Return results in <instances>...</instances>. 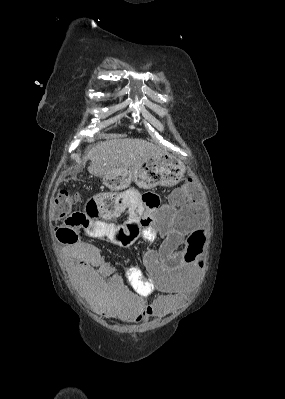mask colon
Listing matches in <instances>:
<instances>
[{"instance_id":"colon-1","label":"colon","mask_w":285,"mask_h":399,"mask_svg":"<svg viewBox=\"0 0 285 399\" xmlns=\"http://www.w3.org/2000/svg\"><path fill=\"white\" fill-rule=\"evenodd\" d=\"M197 184L194 180L185 182L181 189L186 193L195 191ZM101 202L104 205H111L113 203L123 204L124 195L123 193H111L102 196ZM134 209L132 215L127 216L123 224H119L106 233V237L113 242L121 243L125 246L132 245L139 237L142 236L144 229L148 225V220L144 207H155L159 205V199L156 195L150 194L139 201H133ZM75 205V198L72 193L62 188L55 195L52 202V215L56 220H64L67 226L66 232L67 237L62 236V229H60V239L65 243H77L79 236L76 228L80 225L88 226L89 222L85 219V215L82 212H73L72 208ZM187 214L181 212L178 214L179 219H185ZM74 224V225H73ZM177 251L171 249L164 253L167 260L168 266H174L176 264L175 255Z\"/></svg>"}]
</instances>
